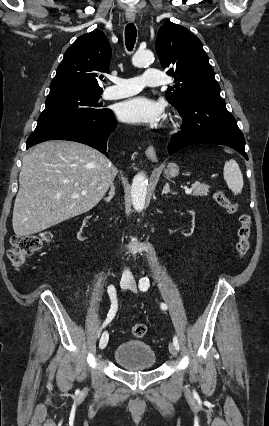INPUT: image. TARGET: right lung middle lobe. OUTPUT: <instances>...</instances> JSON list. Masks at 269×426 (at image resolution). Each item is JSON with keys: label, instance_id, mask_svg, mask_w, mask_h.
Wrapping results in <instances>:
<instances>
[{"label": "right lung middle lobe", "instance_id": "1", "mask_svg": "<svg viewBox=\"0 0 269 426\" xmlns=\"http://www.w3.org/2000/svg\"><path fill=\"white\" fill-rule=\"evenodd\" d=\"M102 92L66 89L50 92L34 132L69 121L103 113Z\"/></svg>", "mask_w": 269, "mask_h": 426}]
</instances>
